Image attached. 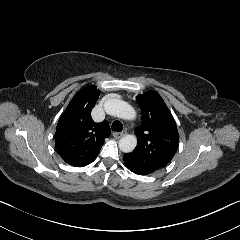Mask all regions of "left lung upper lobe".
<instances>
[{"instance_id": "5c2ea615", "label": "left lung upper lobe", "mask_w": 240, "mask_h": 240, "mask_svg": "<svg viewBox=\"0 0 240 240\" xmlns=\"http://www.w3.org/2000/svg\"><path fill=\"white\" fill-rule=\"evenodd\" d=\"M136 100L142 112L141 126L135 130L138 143L123 159L133 168L154 172L174 157L179 134L168 107L156 92L148 91Z\"/></svg>"}]
</instances>
